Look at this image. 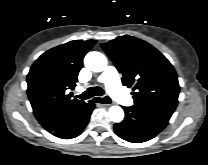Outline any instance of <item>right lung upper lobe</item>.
I'll use <instances>...</instances> for the list:
<instances>
[{"mask_svg": "<svg viewBox=\"0 0 208 165\" xmlns=\"http://www.w3.org/2000/svg\"><path fill=\"white\" fill-rule=\"evenodd\" d=\"M95 40H75L43 53L27 75V93L39 123L52 132L78 116L88 103L72 99L67 89H74L85 54Z\"/></svg>", "mask_w": 208, "mask_h": 165, "instance_id": "right-lung-upper-lobe-1", "label": "right lung upper lobe"}]
</instances>
